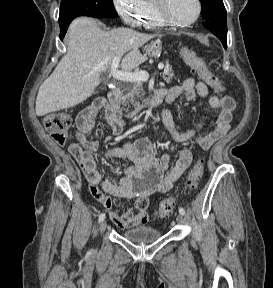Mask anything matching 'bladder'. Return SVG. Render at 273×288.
<instances>
[{
  "instance_id": "31cf9c89",
  "label": "bladder",
  "mask_w": 273,
  "mask_h": 288,
  "mask_svg": "<svg viewBox=\"0 0 273 288\" xmlns=\"http://www.w3.org/2000/svg\"><path fill=\"white\" fill-rule=\"evenodd\" d=\"M161 232L150 226H137L126 230L122 233V237L132 243L145 244L156 241L160 238Z\"/></svg>"
}]
</instances>
